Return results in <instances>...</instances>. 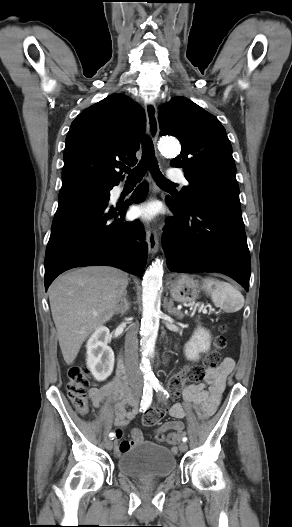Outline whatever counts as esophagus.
Wrapping results in <instances>:
<instances>
[{"mask_svg": "<svg viewBox=\"0 0 292 527\" xmlns=\"http://www.w3.org/2000/svg\"><path fill=\"white\" fill-rule=\"evenodd\" d=\"M145 111L147 119V132L149 137L153 140V142H155L159 131L156 105L154 103H147L145 105ZM152 189L153 192L156 189L155 183L153 181ZM146 240L148 244L149 253L155 254L158 251L159 247V238L156 229L147 226Z\"/></svg>", "mask_w": 292, "mask_h": 527, "instance_id": "esophagus-1", "label": "esophagus"}]
</instances>
